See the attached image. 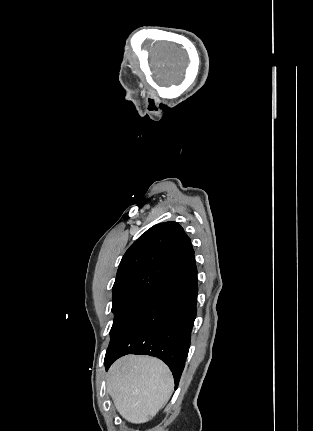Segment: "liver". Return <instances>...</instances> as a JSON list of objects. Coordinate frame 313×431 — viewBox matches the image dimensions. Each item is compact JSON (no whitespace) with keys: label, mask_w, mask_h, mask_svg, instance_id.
Here are the masks:
<instances>
[{"label":"liver","mask_w":313,"mask_h":431,"mask_svg":"<svg viewBox=\"0 0 313 431\" xmlns=\"http://www.w3.org/2000/svg\"><path fill=\"white\" fill-rule=\"evenodd\" d=\"M107 389L119 414L135 424L148 422L167 403L173 377L161 360L128 355L110 368Z\"/></svg>","instance_id":"obj_1"}]
</instances>
